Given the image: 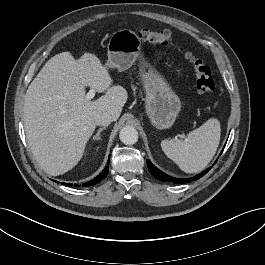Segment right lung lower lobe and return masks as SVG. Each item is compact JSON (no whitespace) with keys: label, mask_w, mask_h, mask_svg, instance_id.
I'll return each mask as SVG.
<instances>
[{"label":"right lung lower lobe","mask_w":265,"mask_h":265,"mask_svg":"<svg viewBox=\"0 0 265 265\" xmlns=\"http://www.w3.org/2000/svg\"><path fill=\"white\" fill-rule=\"evenodd\" d=\"M107 164H109V161H108ZM108 170H109V165H107L104 168V170L97 177H95L91 181L83 183L82 186L83 187H87V186H92V185H95V184L99 183L100 181H102V179H104L106 177V175L108 174ZM62 184H66L67 186H73V184H71V183H62ZM75 186H77V184H75Z\"/></svg>","instance_id":"obj_1"}]
</instances>
